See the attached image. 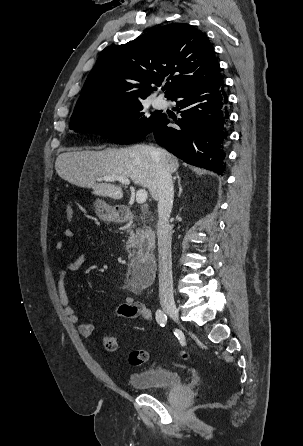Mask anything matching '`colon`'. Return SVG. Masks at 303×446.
<instances>
[{
	"label": "colon",
	"mask_w": 303,
	"mask_h": 446,
	"mask_svg": "<svg viewBox=\"0 0 303 446\" xmlns=\"http://www.w3.org/2000/svg\"><path fill=\"white\" fill-rule=\"evenodd\" d=\"M65 214L68 221L73 218V209L70 206L65 208ZM102 342L108 351H115L118 346V341L115 335L111 333L104 334L102 337ZM183 360H189L190 356L188 353L183 352L181 354ZM148 354L145 350H133L129 354V363L134 366L142 365L147 361Z\"/></svg>",
	"instance_id": "5ec220e1"
}]
</instances>
